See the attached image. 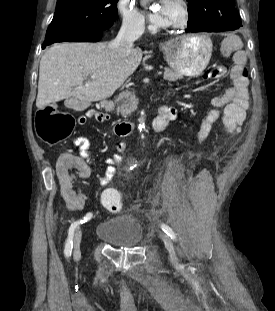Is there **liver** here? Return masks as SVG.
Instances as JSON below:
<instances>
[{
    "label": "liver",
    "instance_id": "6515ba94",
    "mask_svg": "<svg viewBox=\"0 0 275 311\" xmlns=\"http://www.w3.org/2000/svg\"><path fill=\"white\" fill-rule=\"evenodd\" d=\"M142 60V50L119 54L111 43H60L50 47L40 61L36 106L43 109L68 97L86 103L107 99L132 75ZM95 78L84 84V79Z\"/></svg>",
    "mask_w": 275,
    "mask_h": 311
}]
</instances>
